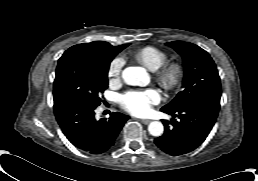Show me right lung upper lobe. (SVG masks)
I'll return each instance as SVG.
<instances>
[{
    "mask_svg": "<svg viewBox=\"0 0 258 181\" xmlns=\"http://www.w3.org/2000/svg\"><path fill=\"white\" fill-rule=\"evenodd\" d=\"M121 46H112L108 42L94 41L91 43H83L75 45L71 48L86 51L99 57H111L112 59L119 53Z\"/></svg>",
    "mask_w": 258,
    "mask_h": 181,
    "instance_id": "1",
    "label": "right lung upper lobe"
}]
</instances>
